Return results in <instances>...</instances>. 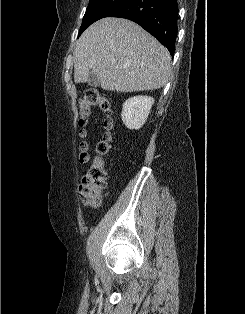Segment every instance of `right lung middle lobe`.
Returning <instances> with one entry per match:
<instances>
[{
	"label": "right lung middle lobe",
	"instance_id": "right-lung-middle-lobe-1",
	"mask_svg": "<svg viewBox=\"0 0 245 314\" xmlns=\"http://www.w3.org/2000/svg\"><path fill=\"white\" fill-rule=\"evenodd\" d=\"M126 0H90L83 17L79 35L95 21L104 18L107 13L124 3Z\"/></svg>",
	"mask_w": 245,
	"mask_h": 314
}]
</instances>
